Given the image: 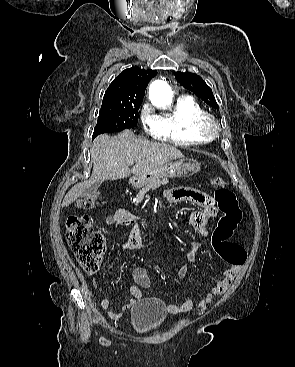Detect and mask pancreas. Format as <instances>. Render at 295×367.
Here are the masks:
<instances>
[{
  "mask_svg": "<svg viewBox=\"0 0 295 367\" xmlns=\"http://www.w3.org/2000/svg\"><path fill=\"white\" fill-rule=\"evenodd\" d=\"M168 183V179L167 178H163L162 180H156L150 184H148L147 186H145L144 188H142L140 190V192L138 193L137 199L138 200H142L145 193L147 191H149V189H156L158 187H160L161 184H167Z\"/></svg>",
  "mask_w": 295,
  "mask_h": 367,
  "instance_id": "1",
  "label": "pancreas"
}]
</instances>
